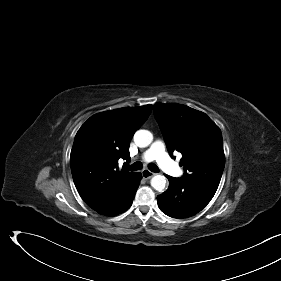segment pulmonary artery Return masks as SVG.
<instances>
[{"label": "pulmonary artery", "mask_w": 281, "mask_h": 281, "mask_svg": "<svg viewBox=\"0 0 281 281\" xmlns=\"http://www.w3.org/2000/svg\"><path fill=\"white\" fill-rule=\"evenodd\" d=\"M142 158L144 161L155 160L162 170L172 176L179 177L182 175L181 168L169 158L161 140H156L143 154Z\"/></svg>", "instance_id": "1"}]
</instances>
